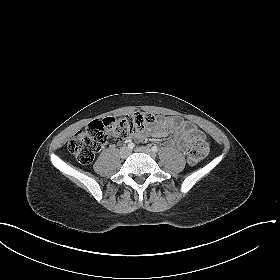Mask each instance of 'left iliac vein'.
I'll list each match as a JSON object with an SVG mask.
<instances>
[{
	"instance_id": "obj_1",
	"label": "left iliac vein",
	"mask_w": 280,
	"mask_h": 280,
	"mask_svg": "<svg viewBox=\"0 0 280 280\" xmlns=\"http://www.w3.org/2000/svg\"><path fill=\"white\" fill-rule=\"evenodd\" d=\"M136 151L146 153L149 156H151L152 158L156 157L155 153L148 147H139V148L136 149Z\"/></svg>"
}]
</instances>
